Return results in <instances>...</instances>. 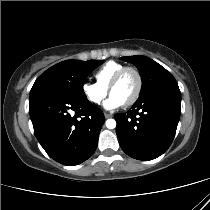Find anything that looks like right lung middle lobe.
I'll return each instance as SVG.
<instances>
[{
  "label": "right lung middle lobe",
  "instance_id": "right-lung-middle-lobe-1",
  "mask_svg": "<svg viewBox=\"0 0 210 210\" xmlns=\"http://www.w3.org/2000/svg\"><path fill=\"white\" fill-rule=\"evenodd\" d=\"M102 63L101 60H66L58 63L37 78L30 91V99L46 94L86 99L84 81Z\"/></svg>",
  "mask_w": 210,
  "mask_h": 210
}]
</instances>
